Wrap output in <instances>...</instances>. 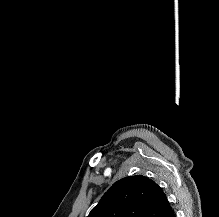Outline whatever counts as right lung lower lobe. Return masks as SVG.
<instances>
[{
  "instance_id": "obj_1",
  "label": "right lung lower lobe",
  "mask_w": 219,
  "mask_h": 217,
  "mask_svg": "<svg viewBox=\"0 0 219 217\" xmlns=\"http://www.w3.org/2000/svg\"><path fill=\"white\" fill-rule=\"evenodd\" d=\"M169 217H176L174 211L169 215Z\"/></svg>"
}]
</instances>
